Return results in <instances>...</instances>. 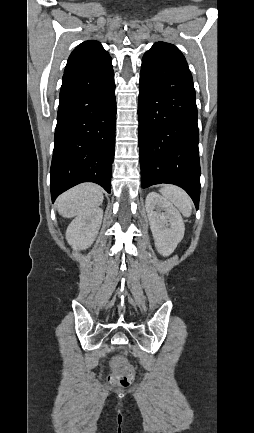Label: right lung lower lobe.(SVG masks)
I'll list each match as a JSON object with an SVG mask.
<instances>
[{
  "instance_id": "98d812e1",
  "label": "right lung lower lobe",
  "mask_w": 254,
  "mask_h": 433,
  "mask_svg": "<svg viewBox=\"0 0 254 433\" xmlns=\"http://www.w3.org/2000/svg\"><path fill=\"white\" fill-rule=\"evenodd\" d=\"M115 129L112 59L64 73L50 169L53 202L82 182L97 183L110 193Z\"/></svg>"
}]
</instances>
